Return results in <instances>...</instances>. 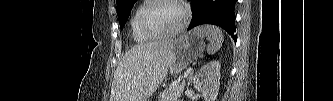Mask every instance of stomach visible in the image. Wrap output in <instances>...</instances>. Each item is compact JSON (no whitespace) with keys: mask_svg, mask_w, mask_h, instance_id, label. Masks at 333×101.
Instances as JSON below:
<instances>
[{"mask_svg":"<svg viewBox=\"0 0 333 101\" xmlns=\"http://www.w3.org/2000/svg\"><path fill=\"white\" fill-rule=\"evenodd\" d=\"M204 48L205 42L203 37L195 31L185 33L177 39H174L169 64L171 74H179L190 63L197 60L203 53Z\"/></svg>","mask_w":333,"mask_h":101,"instance_id":"stomach-1","label":"stomach"}]
</instances>
